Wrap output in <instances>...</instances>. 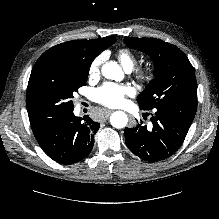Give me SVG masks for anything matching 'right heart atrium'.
Returning <instances> with one entry per match:
<instances>
[{"instance_id": "d8ad5b80", "label": "right heart atrium", "mask_w": 219, "mask_h": 219, "mask_svg": "<svg viewBox=\"0 0 219 219\" xmlns=\"http://www.w3.org/2000/svg\"><path fill=\"white\" fill-rule=\"evenodd\" d=\"M102 61H103L102 56H99L92 62L89 68L90 76H96L99 74Z\"/></svg>"}]
</instances>
